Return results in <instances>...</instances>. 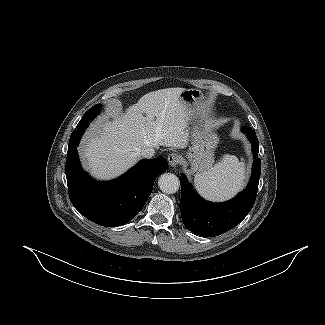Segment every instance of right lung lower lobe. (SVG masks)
<instances>
[{"mask_svg":"<svg viewBox=\"0 0 325 325\" xmlns=\"http://www.w3.org/2000/svg\"><path fill=\"white\" fill-rule=\"evenodd\" d=\"M88 125L73 131L66 159L69 197L76 209L90 221L106 227L130 221L144 207L157 176L167 168L163 157L144 159L120 178L96 182L81 168L77 145Z\"/></svg>","mask_w":325,"mask_h":325,"instance_id":"right-lung-lower-lobe-1","label":"right lung lower lobe"}]
</instances>
